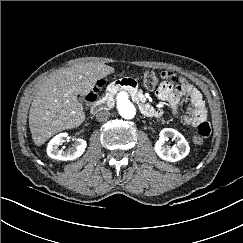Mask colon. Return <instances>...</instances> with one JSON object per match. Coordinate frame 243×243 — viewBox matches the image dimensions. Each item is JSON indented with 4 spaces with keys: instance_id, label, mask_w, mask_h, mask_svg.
Wrapping results in <instances>:
<instances>
[{
    "instance_id": "obj_1",
    "label": "colon",
    "mask_w": 243,
    "mask_h": 243,
    "mask_svg": "<svg viewBox=\"0 0 243 243\" xmlns=\"http://www.w3.org/2000/svg\"><path fill=\"white\" fill-rule=\"evenodd\" d=\"M163 79V75H158L157 73H155L154 71H147L145 72L144 76H143V84L147 89H155L160 81ZM87 99L89 101H93L95 99V92H91L89 93V95L87 96ZM193 142L196 145H201L204 142V137L201 135H196L193 137Z\"/></svg>"
}]
</instances>
